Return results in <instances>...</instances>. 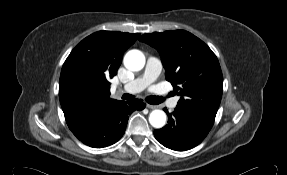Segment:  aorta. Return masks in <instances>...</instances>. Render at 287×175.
I'll return each instance as SVG.
<instances>
[{
    "label": "aorta",
    "instance_id": "762f6f07",
    "mask_svg": "<svg viewBox=\"0 0 287 175\" xmlns=\"http://www.w3.org/2000/svg\"><path fill=\"white\" fill-rule=\"evenodd\" d=\"M124 66L131 71H140L145 65V56L139 50H130L124 56ZM149 122L154 128H162L166 123V114L162 110H153Z\"/></svg>",
    "mask_w": 287,
    "mask_h": 175
}]
</instances>
